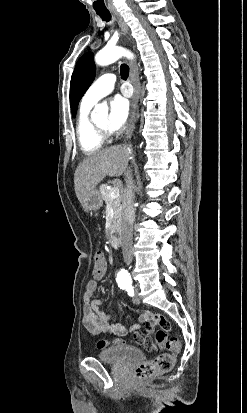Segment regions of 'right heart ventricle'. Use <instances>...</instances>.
<instances>
[{"label": "right heart ventricle", "instance_id": "right-heart-ventricle-1", "mask_svg": "<svg viewBox=\"0 0 247 413\" xmlns=\"http://www.w3.org/2000/svg\"><path fill=\"white\" fill-rule=\"evenodd\" d=\"M91 105H84L77 123V140L81 151L92 156L101 152L104 141L99 136L94 123L89 119L87 110Z\"/></svg>", "mask_w": 247, "mask_h": 413}]
</instances>
